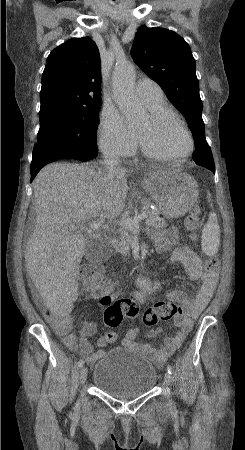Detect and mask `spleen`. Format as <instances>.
<instances>
[{
	"mask_svg": "<svg viewBox=\"0 0 245 450\" xmlns=\"http://www.w3.org/2000/svg\"><path fill=\"white\" fill-rule=\"evenodd\" d=\"M207 198L211 201V194L209 192L207 193ZM201 246L203 252L208 256H214L218 252L220 246V228L215 212H210L208 221L202 230Z\"/></svg>",
	"mask_w": 245,
	"mask_h": 450,
	"instance_id": "obj_1",
	"label": "spleen"
}]
</instances>
